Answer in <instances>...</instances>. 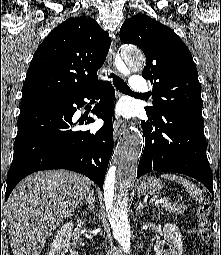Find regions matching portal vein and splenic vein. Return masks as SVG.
<instances>
[{"instance_id": "portal-vein-and-splenic-vein-1", "label": "portal vein and splenic vein", "mask_w": 221, "mask_h": 255, "mask_svg": "<svg viewBox=\"0 0 221 255\" xmlns=\"http://www.w3.org/2000/svg\"><path fill=\"white\" fill-rule=\"evenodd\" d=\"M154 202H155V203H159V202H160V203H163L164 200H154Z\"/></svg>"}]
</instances>
